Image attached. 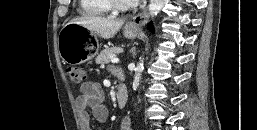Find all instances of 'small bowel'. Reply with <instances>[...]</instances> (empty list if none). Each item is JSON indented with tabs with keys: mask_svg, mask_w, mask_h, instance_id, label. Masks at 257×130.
I'll use <instances>...</instances> for the list:
<instances>
[{
	"mask_svg": "<svg viewBox=\"0 0 257 130\" xmlns=\"http://www.w3.org/2000/svg\"><path fill=\"white\" fill-rule=\"evenodd\" d=\"M103 98L104 94L98 83L87 81L81 84L76 105L82 130H93L92 117L98 123H104L107 120L109 113L107 107L103 104ZM88 110H91L92 116ZM121 130H131L128 120L123 122Z\"/></svg>",
	"mask_w": 257,
	"mask_h": 130,
	"instance_id": "1",
	"label": "small bowel"
}]
</instances>
